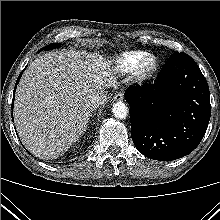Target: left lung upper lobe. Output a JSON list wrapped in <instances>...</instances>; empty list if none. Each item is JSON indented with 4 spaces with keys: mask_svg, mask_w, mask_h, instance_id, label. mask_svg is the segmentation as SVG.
<instances>
[{
    "mask_svg": "<svg viewBox=\"0 0 220 220\" xmlns=\"http://www.w3.org/2000/svg\"><path fill=\"white\" fill-rule=\"evenodd\" d=\"M173 54H179V52H175V53H173Z\"/></svg>",
    "mask_w": 220,
    "mask_h": 220,
    "instance_id": "5c2ea615",
    "label": "left lung upper lobe"
}]
</instances>
